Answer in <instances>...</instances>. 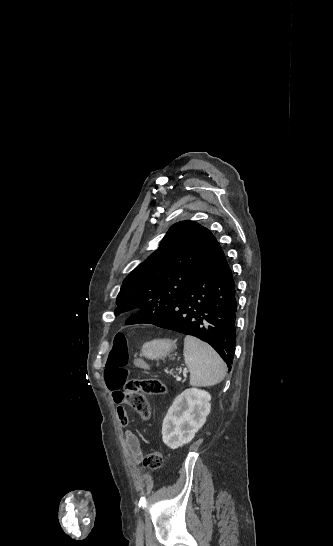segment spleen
Here are the masks:
<instances>
[{"label":"spleen","mask_w":333,"mask_h":546,"mask_svg":"<svg viewBox=\"0 0 333 546\" xmlns=\"http://www.w3.org/2000/svg\"><path fill=\"white\" fill-rule=\"evenodd\" d=\"M184 358L192 386H211L225 378L226 365L221 357L196 337H185Z\"/></svg>","instance_id":"1"}]
</instances>
